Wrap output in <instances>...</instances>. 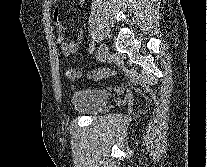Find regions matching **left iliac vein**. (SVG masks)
Masks as SVG:
<instances>
[{"instance_id":"obj_1","label":"left iliac vein","mask_w":207,"mask_h":167,"mask_svg":"<svg viewBox=\"0 0 207 167\" xmlns=\"http://www.w3.org/2000/svg\"><path fill=\"white\" fill-rule=\"evenodd\" d=\"M108 56V47L105 43H102L97 50V58L99 61L103 62Z\"/></svg>"}]
</instances>
